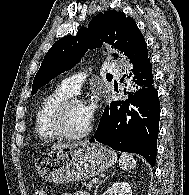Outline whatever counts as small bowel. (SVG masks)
Segmentation results:
<instances>
[{"label": "small bowel", "instance_id": "c3829d8e", "mask_svg": "<svg viewBox=\"0 0 189 195\" xmlns=\"http://www.w3.org/2000/svg\"><path fill=\"white\" fill-rule=\"evenodd\" d=\"M63 195H88L86 192L84 191H79L75 194H72V193H64Z\"/></svg>", "mask_w": 189, "mask_h": 195}]
</instances>
